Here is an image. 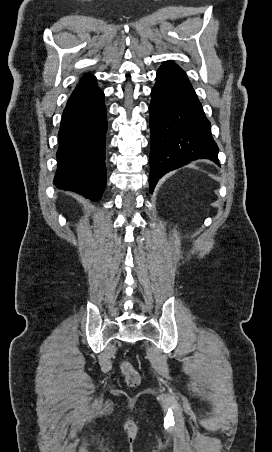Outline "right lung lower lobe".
Returning a JSON list of instances; mask_svg holds the SVG:
<instances>
[{
	"mask_svg": "<svg viewBox=\"0 0 272 452\" xmlns=\"http://www.w3.org/2000/svg\"><path fill=\"white\" fill-rule=\"evenodd\" d=\"M104 94L96 78L80 81L68 99L58 133L54 184L98 201L106 187Z\"/></svg>",
	"mask_w": 272,
	"mask_h": 452,
	"instance_id": "right-lung-lower-lobe-1",
	"label": "right lung lower lobe"
}]
</instances>
